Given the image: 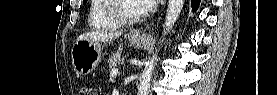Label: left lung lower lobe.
<instances>
[{"mask_svg": "<svg viewBox=\"0 0 277 95\" xmlns=\"http://www.w3.org/2000/svg\"><path fill=\"white\" fill-rule=\"evenodd\" d=\"M200 3V0H192V9L193 11H196Z\"/></svg>", "mask_w": 277, "mask_h": 95, "instance_id": "obj_1", "label": "left lung lower lobe"}]
</instances>
